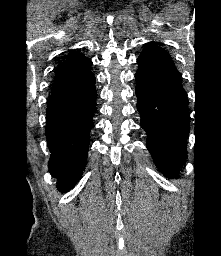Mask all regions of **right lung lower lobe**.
<instances>
[{"mask_svg": "<svg viewBox=\"0 0 221 256\" xmlns=\"http://www.w3.org/2000/svg\"><path fill=\"white\" fill-rule=\"evenodd\" d=\"M96 98L93 89L68 101L48 104L46 109L49 171L58 179L61 192L74 187L86 165Z\"/></svg>", "mask_w": 221, "mask_h": 256, "instance_id": "1", "label": "right lung lower lobe"}]
</instances>
